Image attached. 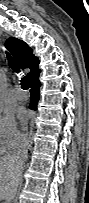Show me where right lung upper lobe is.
<instances>
[{
    "label": "right lung upper lobe",
    "mask_w": 89,
    "mask_h": 203,
    "mask_svg": "<svg viewBox=\"0 0 89 203\" xmlns=\"http://www.w3.org/2000/svg\"><path fill=\"white\" fill-rule=\"evenodd\" d=\"M5 47L12 53L21 69L29 68L28 81L40 73L39 60L32 54V49L22 40L10 37L5 42Z\"/></svg>",
    "instance_id": "obj_1"
}]
</instances>
